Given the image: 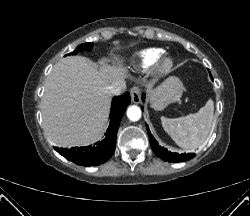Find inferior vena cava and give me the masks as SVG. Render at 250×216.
<instances>
[{"mask_svg": "<svg viewBox=\"0 0 250 216\" xmlns=\"http://www.w3.org/2000/svg\"><path fill=\"white\" fill-rule=\"evenodd\" d=\"M126 89V84L121 83L119 85H109L107 91L112 95H120Z\"/></svg>", "mask_w": 250, "mask_h": 216, "instance_id": "obj_1", "label": "inferior vena cava"}]
</instances>
